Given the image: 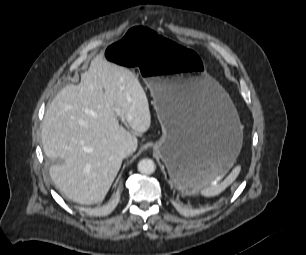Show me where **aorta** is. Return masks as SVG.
<instances>
[{
    "mask_svg": "<svg viewBox=\"0 0 306 255\" xmlns=\"http://www.w3.org/2000/svg\"><path fill=\"white\" fill-rule=\"evenodd\" d=\"M138 171L142 174H152L155 172V163L152 159H142L138 163Z\"/></svg>",
    "mask_w": 306,
    "mask_h": 255,
    "instance_id": "762f6f07",
    "label": "aorta"
}]
</instances>
